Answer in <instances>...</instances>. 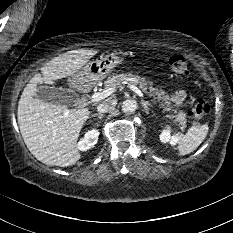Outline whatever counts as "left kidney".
Segmentation results:
<instances>
[{
    "mask_svg": "<svg viewBox=\"0 0 233 233\" xmlns=\"http://www.w3.org/2000/svg\"><path fill=\"white\" fill-rule=\"evenodd\" d=\"M160 141L163 143H170L172 146L175 145V141L173 140V138L171 137V135L167 132H162L160 134Z\"/></svg>",
    "mask_w": 233,
    "mask_h": 233,
    "instance_id": "5707ae66",
    "label": "left kidney"
}]
</instances>
